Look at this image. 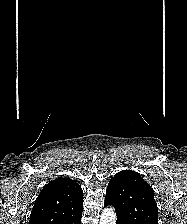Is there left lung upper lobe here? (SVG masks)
<instances>
[{
	"label": "left lung upper lobe",
	"instance_id": "left-lung-upper-lobe-1",
	"mask_svg": "<svg viewBox=\"0 0 187 224\" xmlns=\"http://www.w3.org/2000/svg\"><path fill=\"white\" fill-rule=\"evenodd\" d=\"M105 200L125 224H158L154 191L135 171L118 172L109 181Z\"/></svg>",
	"mask_w": 187,
	"mask_h": 224
}]
</instances>
